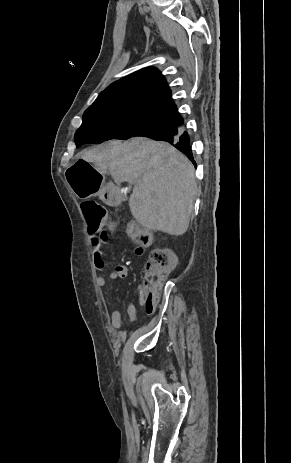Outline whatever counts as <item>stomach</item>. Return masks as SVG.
I'll return each instance as SVG.
<instances>
[{"instance_id":"0dacf381","label":"stomach","mask_w":291,"mask_h":463,"mask_svg":"<svg viewBox=\"0 0 291 463\" xmlns=\"http://www.w3.org/2000/svg\"><path fill=\"white\" fill-rule=\"evenodd\" d=\"M102 176L84 157H79L76 164L66 171L65 182L70 183L80 199L98 195L106 204H114L117 198L116 190L110 185H105Z\"/></svg>"}]
</instances>
